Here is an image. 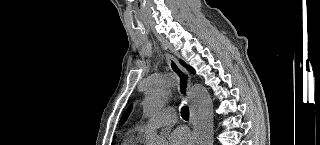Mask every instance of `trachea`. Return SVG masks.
Here are the masks:
<instances>
[{"label":"trachea","instance_id":"trachea-1","mask_svg":"<svg viewBox=\"0 0 320 145\" xmlns=\"http://www.w3.org/2000/svg\"><path fill=\"white\" fill-rule=\"evenodd\" d=\"M181 116L183 119H188L189 118V108L187 106H183L181 108Z\"/></svg>","mask_w":320,"mask_h":145}]
</instances>
